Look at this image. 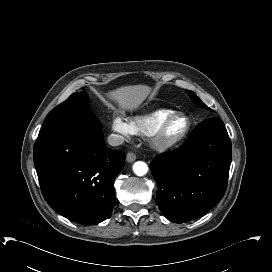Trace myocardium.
<instances>
[{
    "mask_svg": "<svg viewBox=\"0 0 272 272\" xmlns=\"http://www.w3.org/2000/svg\"><path fill=\"white\" fill-rule=\"evenodd\" d=\"M178 119H184L185 121V126L183 130L173 136V137H168L167 132L172 125V123ZM190 120L183 114H173L170 117H168L150 136L151 137V142L153 146H155L158 149L161 150H167L171 149L178 144H180L188 135L189 130H190Z\"/></svg>",
    "mask_w": 272,
    "mask_h": 272,
    "instance_id": "1",
    "label": "myocardium"
}]
</instances>
